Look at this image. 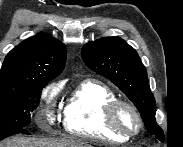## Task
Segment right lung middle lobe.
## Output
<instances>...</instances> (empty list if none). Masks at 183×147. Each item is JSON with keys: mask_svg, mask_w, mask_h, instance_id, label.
<instances>
[{"mask_svg": "<svg viewBox=\"0 0 183 147\" xmlns=\"http://www.w3.org/2000/svg\"><path fill=\"white\" fill-rule=\"evenodd\" d=\"M46 85V81H33L0 86V137L31 122L30 114L38 106Z\"/></svg>", "mask_w": 183, "mask_h": 147, "instance_id": "1", "label": "right lung middle lobe"}]
</instances>
